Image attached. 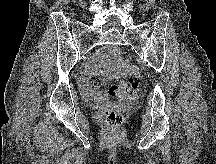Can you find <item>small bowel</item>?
<instances>
[{
	"instance_id": "small-bowel-1",
	"label": "small bowel",
	"mask_w": 216,
	"mask_h": 164,
	"mask_svg": "<svg viewBox=\"0 0 216 164\" xmlns=\"http://www.w3.org/2000/svg\"><path fill=\"white\" fill-rule=\"evenodd\" d=\"M98 60L100 61L99 64H97ZM86 72L91 78L88 81H81L86 95L97 103H103L106 101V94L99 88V82L96 78H116L129 73L130 68L126 63L121 61L119 50L111 48L93 59L87 66Z\"/></svg>"
}]
</instances>
